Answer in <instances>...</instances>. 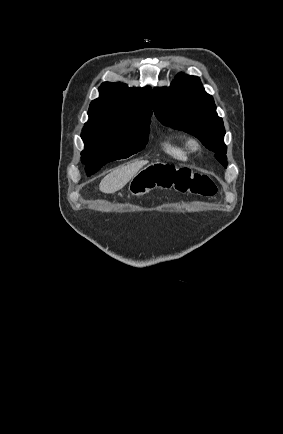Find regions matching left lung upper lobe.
Here are the masks:
<instances>
[{
	"label": "left lung upper lobe",
	"instance_id": "1",
	"mask_svg": "<svg viewBox=\"0 0 283 434\" xmlns=\"http://www.w3.org/2000/svg\"><path fill=\"white\" fill-rule=\"evenodd\" d=\"M153 110L163 125L199 138L226 167L223 121L198 77L179 74L169 87L154 88Z\"/></svg>",
	"mask_w": 283,
	"mask_h": 434
}]
</instances>
